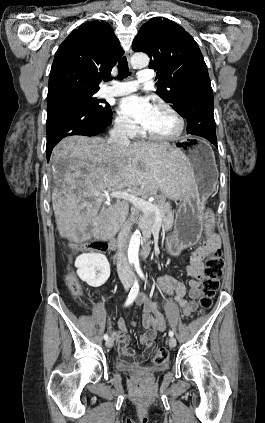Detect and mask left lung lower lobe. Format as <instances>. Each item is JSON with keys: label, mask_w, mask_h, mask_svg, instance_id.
Masks as SVG:
<instances>
[{"label": "left lung lower lobe", "mask_w": 265, "mask_h": 423, "mask_svg": "<svg viewBox=\"0 0 265 423\" xmlns=\"http://www.w3.org/2000/svg\"><path fill=\"white\" fill-rule=\"evenodd\" d=\"M213 109L210 79L202 78L183 90L181 109L177 112L187 119V134L201 136L217 147Z\"/></svg>", "instance_id": "obj_1"}]
</instances>
